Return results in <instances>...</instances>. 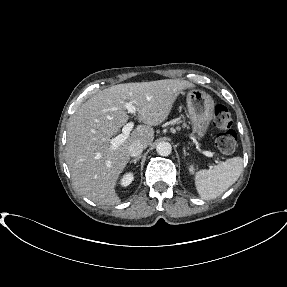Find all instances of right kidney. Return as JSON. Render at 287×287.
I'll return each mask as SVG.
<instances>
[{
	"label": "right kidney",
	"mask_w": 287,
	"mask_h": 287,
	"mask_svg": "<svg viewBox=\"0 0 287 287\" xmlns=\"http://www.w3.org/2000/svg\"><path fill=\"white\" fill-rule=\"evenodd\" d=\"M134 177L132 173H126L123 178L121 179V185L122 186H128L132 181Z\"/></svg>",
	"instance_id": "obj_1"
}]
</instances>
